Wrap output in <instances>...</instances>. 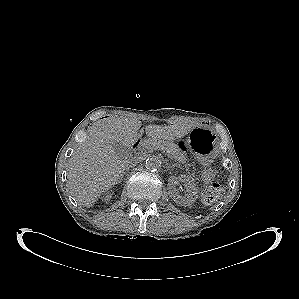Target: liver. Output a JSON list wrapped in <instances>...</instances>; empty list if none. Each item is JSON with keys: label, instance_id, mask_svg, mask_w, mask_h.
<instances>
[{"label": "liver", "instance_id": "obj_1", "mask_svg": "<svg viewBox=\"0 0 299 299\" xmlns=\"http://www.w3.org/2000/svg\"><path fill=\"white\" fill-rule=\"evenodd\" d=\"M141 122L135 118L109 117L97 121L89 129L81 147L69 160L67 187L83 206L91 207L103 192L121 178L128 162L115 150L121 143L130 148L142 136ZM146 135L154 139L176 140L190 132L184 125H147Z\"/></svg>", "mask_w": 299, "mask_h": 299}]
</instances>
